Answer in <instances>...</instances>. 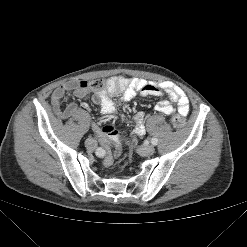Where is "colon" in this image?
<instances>
[{"instance_id":"5ec220e1","label":"colon","mask_w":247,"mask_h":247,"mask_svg":"<svg viewBox=\"0 0 247 247\" xmlns=\"http://www.w3.org/2000/svg\"><path fill=\"white\" fill-rule=\"evenodd\" d=\"M86 84H87V87L89 89H91L92 91H95V92L102 91V89L104 87V82L102 79H95V80H92L88 83L86 82ZM171 123L175 129H181L185 125V119L181 115L177 114V115H174L172 117ZM113 131H114L113 128L108 126V127L104 128L103 133L105 135H111L113 133Z\"/></svg>"}]
</instances>
